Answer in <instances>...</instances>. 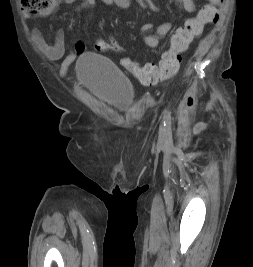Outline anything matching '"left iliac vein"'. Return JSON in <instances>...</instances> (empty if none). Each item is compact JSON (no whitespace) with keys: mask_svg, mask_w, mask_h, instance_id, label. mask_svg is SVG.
Here are the masks:
<instances>
[{"mask_svg":"<svg viewBox=\"0 0 253 267\" xmlns=\"http://www.w3.org/2000/svg\"><path fill=\"white\" fill-rule=\"evenodd\" d=\"M159 140L161 143L164 140V128H163V126L161 127L160 132H159Z\"/></svg>","mask_w":253,"mask_h":267,"instance_id":"1","label":"left iliac vein"}]
</instances>
